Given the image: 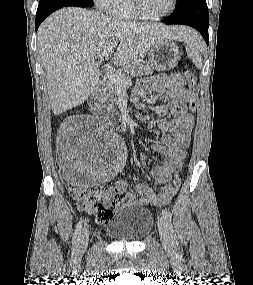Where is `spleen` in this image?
I'll use <instances>...</instances> for the list:
<instances>
[{"label":"spleen","instance_id":"3e777b00","mask_svg":"<svg viewBox=\"0 0 253 285\" xmlns=\"http://www.w3.org/2000/svg\"><path fill=\"white\" fill-rule=\"evenodd\" d=\"M186 51L188 57L192 60L197 69H202L203 60L201 57V50L203 49V42L201 38L195 33L192 32L186 38Z\"/></svg>","mask_w":253,"mask_h":285}]
</instances>
